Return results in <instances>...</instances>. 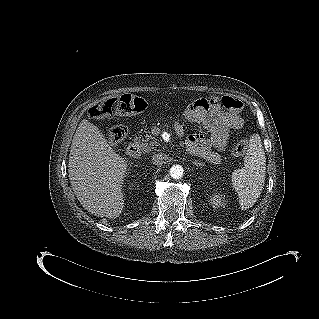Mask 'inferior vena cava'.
<instances>
[{
  "mask_svg": "<svg viewBox=\"0 0 319 319\" xmlns=\"http://www.w3.org/2000/svg\"><path fill=\"white\" fill-rule=\"evenodd\" d=\"M167 162V156L163 153H156L152 156V163L161 166Z\"/></svg>",
  "mask_w": 319,
  "mask_h": 319,
  "instance_id": "inferior-vena-cava-1",
  "label": "inferior vena cava"
}]
</instances>
